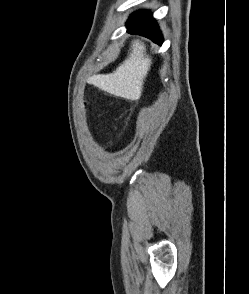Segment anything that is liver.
<instances>
[{"instance_id":"obj_1","label":"liver","mask_w":249,"mask_h":294,"mask_svg":"<svg viewBox=\"0 0 249 294\" xmlns=\"http://www.w3.org/2000/svg\"><path fill=\"white\" fill-rule=\"evenodd\" d=\"M127 59L110 74L94 75L90 82L96 87L125 99H138L151 66L145 45L138 40L131 46Z\"/></svg>"}]
</instances>
